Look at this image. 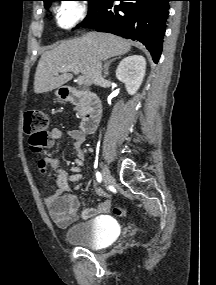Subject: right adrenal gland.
I'll return each instance as SVG.
<instances>
[{
	"mask_svg": "<svg viewBox=\"0 0 216 285\" xmlns=\"http://www.w3.org/2000/svg\"><path fill=\"white\" fill-rule=\"evenodd\" d=\"M120 56L118 57H114L113 59H110L109 61H107L104 65V77H107L108 76V69H109V66L110 64L115 61L116 59H119Z\"/></svg>",
	"mask_w": 216,
	"mask_h": 285,
	"instance_id": "obj_1",
	"label": "right adrenal gland"
}]
</instances>
